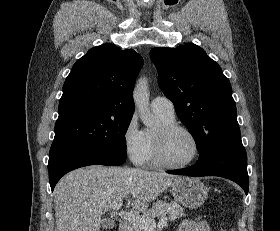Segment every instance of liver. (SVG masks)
Returning a JSON list of instances; mask_svg holds the SVG:
<instances>
[{"label": "liver", "mask_w": 280, "mask_h": 231, "mask_svg": "<svg viewBox=\"0 0 280 231\" xmlns=\"http://www.w3.org/2000/svg\"><path fill=\"white\" fill-rule=\"evenodd\" d=\"M179 175L136 167L88 165L64 175L54 189L55 231H100L102 215L119 209L126 199L132 209L146 211Z\"/></svg>", "instance_id": "obj_1"}]
</instances>
